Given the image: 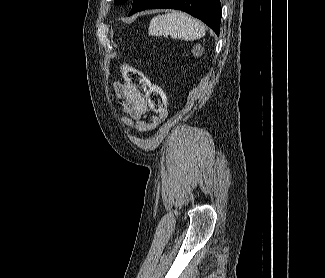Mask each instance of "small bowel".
Here are the masks:
<instances>
[{"label": "small bowel", "mask_w": 325, "mask_h": 278, "mask_svg": "<svg viewBox=\"0 0 325 278\" xmlns=\"http://www.w3.org/2000/svg\"><path fill=\"white\" fill-rule=\"evenodd\" d=\"M114 90L119 100L124 104L125 123L137 131L147 132L153 130L165 118V112L149 116L146 100L129 83L116 82L114 84Z\"/></svg>", "instance_id": "obj_1"}]
</instances>
